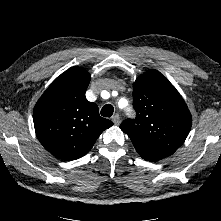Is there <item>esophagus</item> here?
Returning <instances> with one entry per match:
<instances>
[{
	"label": "esophagus",
	"instance_id": "34e87169",
	"mask_svg": "<svg viewBox=\"0 0 221 221\" xmlns=\"http://www.w3.org/2000/svg\"><path fill=\"white\" fill-rule=\"evenodd\" d=\"M111 120L115 125H119L121 122L120 116L118 114L113 115Z\"/></svg>",
	"mask_w": 221,
	"mask_h": 221
}]
</instances>
